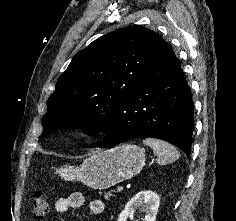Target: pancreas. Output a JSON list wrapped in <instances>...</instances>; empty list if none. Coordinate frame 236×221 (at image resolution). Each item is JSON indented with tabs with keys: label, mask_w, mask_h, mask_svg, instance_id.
<instances>
[{
	"label": "pancreas",
	"mask_w": 236,
	"mask_h": 221,
	"mask_svg": "<svg viewBox=\"0 0 236 221\" xmlns=\"http://www.w3.org/2000/svg\"><path fill=\"white\" fill-rule=\"evenodd\" d=\"M111 196H112V193H111L110 191L104 194V198H105L106 200H109V198H110Z\"/></svg>",
	"instance_id": "pancreas-1"
}]
</instances>
